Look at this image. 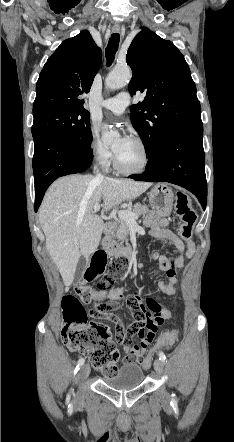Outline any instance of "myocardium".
<instances>
[{
    "instance_id": "myocardium-1",
    "label": "myocardium",
    "mask_w": 234,
    "mask_h": 442,
    "mask_svg": "<svg viewBox=\"0 0 234 442\" xmlns=\"http://www.w3.org/2000/svg\"><path fill=\"white\" fill-rule=\"evenodd\" d=\"M129 140L135 142L141 148V151L143 153V162H142L141 166L137 169H134V170H127V169L123 168L120 165L115 152H114V157H113V165H114L115 170L117 172H119L120 174H123L126 176H133V175L141 174L146 171V169L149 165V162H150V153H149V149H148L146 143L142 139H140L138 137H132Z\"/></svg>"
}]
</instances>
